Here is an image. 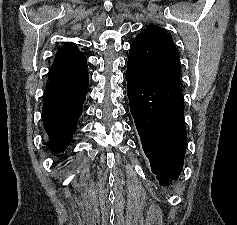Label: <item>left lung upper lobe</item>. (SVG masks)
Segmentation results:
<instances>
[{
    "label": "left lung upper lobe",
    "mask_w": 237,
    "mask_h": 225,
    "mask_svg": "<svg viewBox=\"0 0 237 225\" xmlns=\"http://www.w3.org/2000/svg\"><path fill=\"white\" fill-rule=\"evenodd\" d=\"M128 70L153 87H180V56L171 36L156 25H148L130 46Z\"/></svg>",
    "instance_id": "1"
}]
</instances>
